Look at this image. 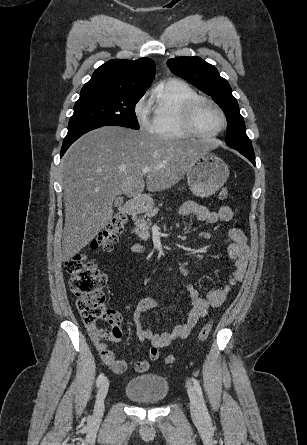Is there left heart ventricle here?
Segmentation results:
<instances>
[{"label": "left heart ventricle", "instance_id": "b2bd125f", "mask_svg": "<svg viewBox=\"0 0 307 445\" xmlns=\"http://www.w3.org/2000/svg\"><path fill=\"white\" fill-rule=\"evenodd\" d=\"M197 121L206 133H215L223 127L221 112L213 105L201 103L197 110Z\"/></svg>", "mask_w": 307, "mask_h": 445}]
</instances>
